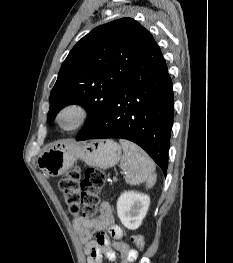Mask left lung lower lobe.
<instances>
[{
  "instance_id": "0a47b994",
  "label": "left lung lower lobe",
  "mask_w": 233,
  "mask_h": 263,
  "mask_svg": "<svg viewBox=\"0 0 233 263\" xmlns=\"http://www.w3.org/2000/svg\"><path fill=\"white\" fill-rule=\"evenodd\" d=\"M172 81L154 41L98 123L80 140L122 138L141 146L166 175L173 125Z\"/></svg>"
}]
</instances>
